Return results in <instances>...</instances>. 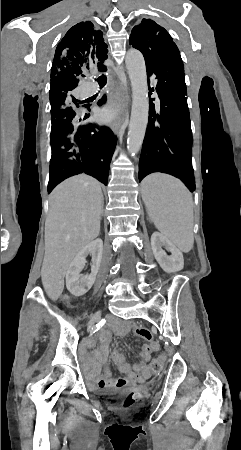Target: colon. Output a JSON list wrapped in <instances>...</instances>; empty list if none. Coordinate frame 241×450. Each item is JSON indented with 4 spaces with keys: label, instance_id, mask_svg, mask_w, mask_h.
Wrapping results in <instances>:
<instances>
[{
    "label": "colon",
    "instance_id": "5ec220e1",
    "mask_svg": "<svg viewBox=\"0 0 241 450\" xmlns=\"http://www.w3.org/2000/svg\"><path fill=\"white\" fill-rule=\"evenodd\" d=\"M165 359H166V358L163 356L162 358L158 357V358H155V359L153 360V363H152V371H153L154 373H159V372H161V370H162V368H163V361H164ZM140 398H141V394H140V393L135 392V391L130 392V393L127 395V397L125 398V400L123 401V406H124L125 408H134L136 405H138V404L141 403Z\"/></svg>",
    "mask_w": 241,
    "mask_h": 450
}]
</instances>
